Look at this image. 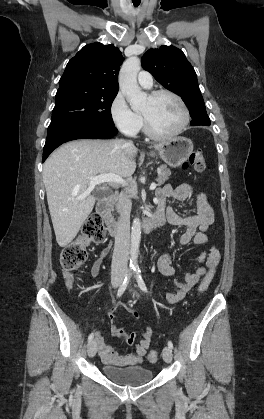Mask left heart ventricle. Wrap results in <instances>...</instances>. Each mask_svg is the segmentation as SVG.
I'll list each match as a JSON object with an SVG mask.
<instances>
[{
    "label": "left heart ventricle",
    "mask_w": 264,
    "mask_h": 419,
    "mask_svg": "<svg viewBox=\"0 0 264 419\" xmlns=\"http://www.w3.org/2000/svg\"><path fill=\"white\" fill-rule=\"evenodd\" d=\"M142 113L146 114L154 130L159 134L174 132L183 120V114L178 102L168 95L156 99L148 97Z\"/></svg>",
    "instance_id": "1"
}]
</instances>
